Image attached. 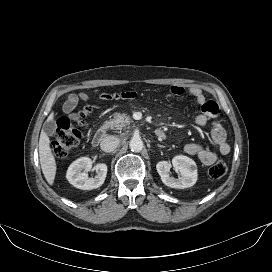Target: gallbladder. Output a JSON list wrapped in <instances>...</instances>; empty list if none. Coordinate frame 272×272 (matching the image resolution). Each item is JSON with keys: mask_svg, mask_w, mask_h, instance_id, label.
<instances>
[{"mask_svg": "<svg viewBox=\"0 0 272 272\" xmlns=\"http://www.w3.org/2000/svg\"><path fill=\"white\" fill-rule=\"evenodd\" d=\"M43 130L49 136H53L56 130V124L53 121H47L43 125Z\"/></svg>", "mask_w": 272, "mask_h": 272, "instance_id": "gallbladder-1", "label": "gallbladder"}]
</instances>
